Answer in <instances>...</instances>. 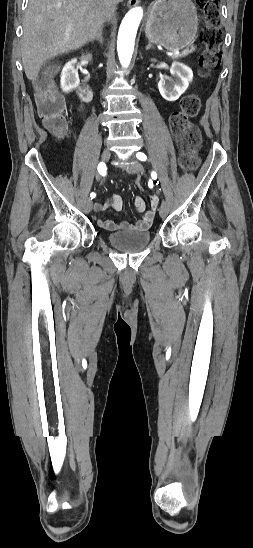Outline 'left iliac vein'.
Returning <instances> with one entry per match:
<instances>
[{
  "label": "left iliac vein",
  "instance_id": "left-iliac-vein-1",
  "mask_svg": "<svg viewBox=\"0 0 253 548\" xmlns=\"http://www.w3.org/2000/svg\"><path fill=\"white\" fill-rule=\"evenodd\" d=\"M126 168L130 173H138V172H142V170H143L142 165L136 159H132L131 163L129 165H127ZM167 212H168L167 205L163 201L161 203L160 208H159V214H160L161 217H165L167 215Z\"/></svg>",
  "mask_w": 253,
  "mask_h": 548
}]
</instances>
